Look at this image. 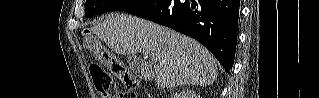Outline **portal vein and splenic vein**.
Returning <instances> with one entry per match:
<instances>
[{
  "mask_svg": "<svg viewBox=\"0 0 319 98\" xmlns=\"http://www.w3.org/2000/svg\"><path fill=\"white\" fill-rule=\"evenodd\" d=\"M143 54L145 55V56H148V51H146V50H143Z\"/></svg>",
  "mask_w": 319,
  "mask_h": 98,
  "instance_id": "portal-vein-and-splenic-vein-1",
  "label": "portal vein and splenic vein"
}]
</instances>
